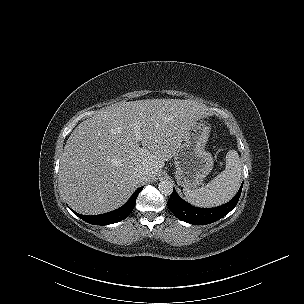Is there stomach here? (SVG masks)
Returning <instances> with one entry per match:
<instances>
[{"instance_id": "1", "label": "stomach", "mask_w": 304, "mask_h": 304, "mask_svg": "<svg viewBox=\"0 0 304 304\" xmlns=\"http://www.w3.org/2000/svg\"><path fill=\"white\" fill-rule=\"evenodd\" d=\"M209 136L210 127L203 122L195 121L187 130L185 143L174 157L175 178L182 187H198L211 172L213 157L205 150Z\"/></svg>"}]
</instances>
